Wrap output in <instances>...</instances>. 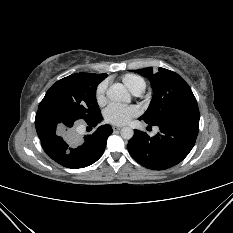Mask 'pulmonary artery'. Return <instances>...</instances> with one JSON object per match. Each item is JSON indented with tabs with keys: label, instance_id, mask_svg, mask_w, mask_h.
Instances as JSON below:
<instances>
[{
	"label": "pulmonary artery",
	"instance_id": "obj_1",
	"mask_svg": "<svg viewBox=\"0 0 233 233\" xmlns=\"http://www.w3.org/2000/svg\"><path fill=\"white\" fill-rule=\"evenodd\" d=\"M142 92H140V91H138V92H135V93H133L134 95H136V96H138V95H140Z\"/></svg>",
	"mask_w": 233,
	"mask_h": 233
}]
</instances>
